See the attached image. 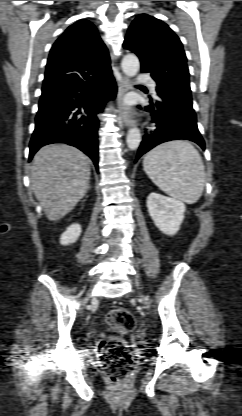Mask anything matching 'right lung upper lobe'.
Here are the masks:
<instances>
[{
  "label": "right lung upper lobe",
  "instance_id": "obj_1",
  "mask_svg": "<svg viewBox=\"0 0 242 416\" xmlns=\"http://www.w3.org/2000/svg\"><path fill=\"white\" fill-rule=\"evenodd\" d=\"M111 70L108 50L95 26L80 20L69 26L51 48L42 91L97 77Z\"/></svg>",
  "mask_w": 242,
  "mask_h": 416
}]
</instances>
